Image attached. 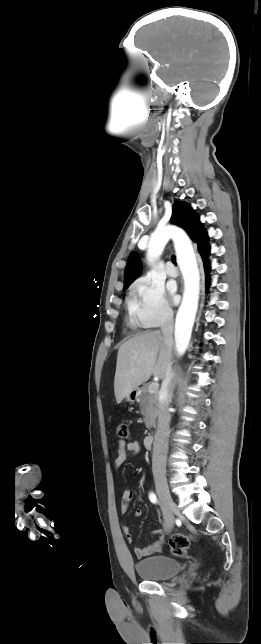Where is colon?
<instances>
[{"mask_svg": "<svg viewBox=\"0 0 261 644\" xmlns=\"http://www.w3.org/2000/svg\"><path fill=\"white\" fill-rule=\"evenodd\" d=\"M117 436L121 440L129 437V428L126 423H120L117 427ZM195 534L173 533L169 539V546L173 554L184 556L192 541H195Z\"/></svg>", "mask_w": 261, "mask_h": 644, "instance_id": "obj_1", "label": "colon"}]
</instances>
